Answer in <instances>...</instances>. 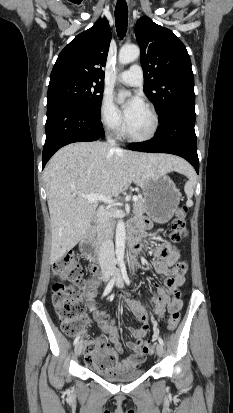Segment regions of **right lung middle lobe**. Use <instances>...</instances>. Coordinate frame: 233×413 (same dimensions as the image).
<instances>
[{
    "mask_svg": "<svg viewBox=\"0 0 233 413\" xmlns=\"http://www.w3.org/2000/svg\"><path fill=\"white\" fill-rule=\"evenodd\" d=\"M102 92V83L78 78L58 79L49 83L47 106L54 103H69L98 116Z\"/></svg>",
    "mask_w": 233,
    "mask_h": 413,
    "instance_id": "1",
    "label": "right lung middle lobe"
}]
</instances>
